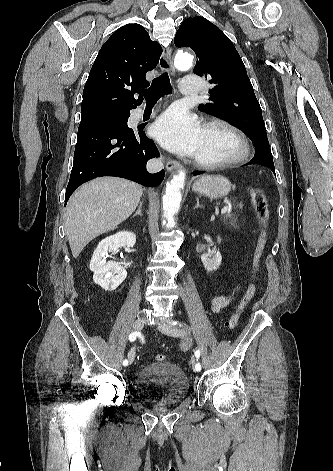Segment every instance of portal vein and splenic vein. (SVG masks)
Returning <instances> with one entry per match:
<instances>
[{"label": "portal vein and splenic vein", "mask_w": 333, "mask_h": 471, "mask_svg": "<svg viewBox=\"0 0 333 471\" xmlns=\"http://www.w3.org/2000/svg\"><path fill=\"white\" fill-rule=\"evenodd\" d=\"M229 209L230 207L228 205L224 206L221 210V214H225Z\"/></svg>", "instance_id": "18ae733b"}]
</instances>
